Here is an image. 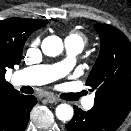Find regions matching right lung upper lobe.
Returning a JSON list of instances; mask_svg holds the SVG:
<instances>
[{
  "label": "right lung upper lobe",
  "mask_w": 131,
  "mask_h": 131,
  "mask_svg": "<svg viewBox=\"0 0 131 131\" xmlns=\"http://www.w3.org/2000/svg\"><path fill=\"white\" fill-rule=\"evenodd\" d=\"M47 23L46 20L25 18L0 21V113L7 103L20 95V92L5 80L6 70L20 63L22 48L29 31L37 30Z\"/></svg>",
  "instance_id": "1"
}]
</instances>
